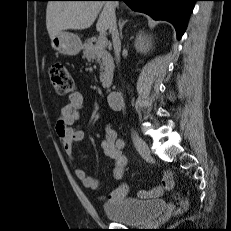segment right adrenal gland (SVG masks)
<instances>
[{
  "label": "right adrenal gland",
  "mask_w": 231,
  "mask_h": 231,
  "mask_svg": "<svg viewBox=\"0 0 231 231\" xmlns=\"http://www.w3.org/2000/svg\"><path fill=\"white\" fill-rule=\"evenodd\" d=\"M126 22H128V20H125V21L122 19L119 20V31H120L121 38H122V29Z\"/></svg>",
  "instance_id": "1"
}]
</instances>
